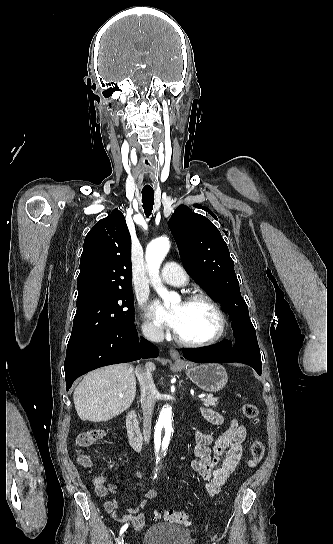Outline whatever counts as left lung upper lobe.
I'll return each mask as SVG.
<instances>
[{"label": "left lung upper lobe", "instance_id": "1", "mask_svg": "<svg viewBox=\"0 0 333 544\" xmlns=\"http://www.w3.org/2000/svg\"><path fill=\"white\" fill-rule=\"evenodd\" d=\"M169 227L191 277L216 300H222L232 321L249 320L234 262L220 231L204 216L188 207H177Z\"/></svg>", "mask_w": 333, "mask_h": 544}]
</instances>
